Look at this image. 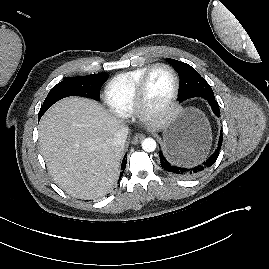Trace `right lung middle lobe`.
<instances>
[{"mask_svg":"<svg viewBox=\"0 0 269 269\" xmlns=\"http://www.w3.org/2000/svg\"><path fill=\"white\" fill-rule=\"evenodd\" d=\"M107 73L69 77L55 85L48 93L38 114V119L58 100L68 96H83L100 99V89L108 79Z\"/></svg>","mask_w":269,"mask_h":269,"instance_id":"1","label":"right lung middle lobe"}]
</instances>
